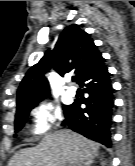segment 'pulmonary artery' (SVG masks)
Masks as SVG:
<instances>
[{
    "mask_svg": "<svg viewBox=\"0 0 135 166\" xmlns=\"http://www.w3.org/2000/svg\"><path fill=\"white\" fill-rule=\"evenodd\" d=\"M67 93H68V95H69L70 97H74L75 94H76V88H75V87H72V86L69 87Z\"/></svg>",
    "mask_w": 135,
    "mask_h": 166,
    "instance_id": "obj_1",
    "label": "pulmonary artery"
}]
</instances>
